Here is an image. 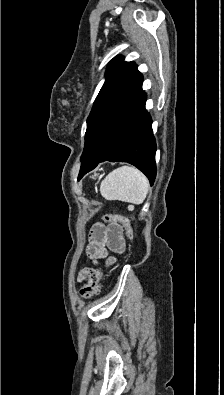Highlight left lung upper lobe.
Here are the masks:
<instances>
[{"label": "left lung upper lobe", "instance_id": "left-lung-upper-lobe-1", "mask_svg": "<svg viewBox=\"0 0 224 395\" xmlns=\"http://www.w3.org/2000/svg\"><path fill=\"white\" fill-rule=\"evenodd\" d=\"M106 80L102 86L87 120V140L93 122L98 112L108 104L118 93H120L129 83L140 75L137 66L133 62H124L123 57H115L108 65ZM86 144V142H85Z\"/></svg>", "mask_w": 224, "mask_h": 395}]
</instances>
